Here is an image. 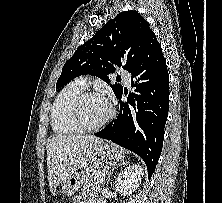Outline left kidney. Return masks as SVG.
<instances>
[{"label":"left kidney","instance_id":"obj_1","mask_svg":"<svg viewBox=\"0 0 222 203\" xmlns=\"http://www.w3.org/2000/svg\"><path fill=\"white\" fill-rule=\"evenodd\" d=\"M143 174L144 169L139 164L127 166L118 174L116 178V191L123 196L132 194L138 188Z\"/></svg>","mask_w":222,"mask_h":203}]
</instances>
